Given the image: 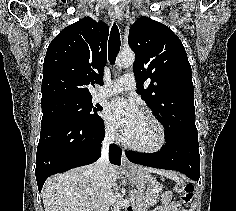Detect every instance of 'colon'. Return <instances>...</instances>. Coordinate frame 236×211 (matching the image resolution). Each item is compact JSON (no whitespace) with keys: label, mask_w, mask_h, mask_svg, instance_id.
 <instances>
[{"label":"colon","mask_w":236,"mask_h":211,"mask_svg":"<svg viewBox=\"0 0 236 211\" xmlns=\"http://www.w3.org/2000/svg\"><path fill=\"white\" fill-rule=\"evenodd\" d=\"M175 189L181 194V201L189 205L194 197V186L191 183H178Z\"/></svg>","instance_id":"1"}]
</instances>
